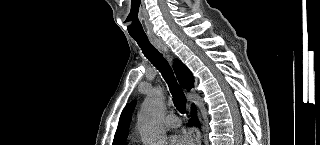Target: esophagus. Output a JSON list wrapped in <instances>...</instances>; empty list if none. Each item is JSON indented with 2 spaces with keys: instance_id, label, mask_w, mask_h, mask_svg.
I'll list each match as a JSON object with an SVG mask.
<instances>
[{
  "instance_id": "34e87169",
  "label": "esophagus",
  "mask_w": 320,
  "mask_h": 145,
  "mask_svg": "<svg viewBox=\"0 0 320 145\" xmlns=\"http://www.w3.org/2000/svg\"><path fill=\"white\" fill-rule=\"evenodd\" d=\"M152 42L161 48L164 52H167V48L160 42V40L154 38L151 39ZM188 138H189V144L190 145H199L200 144V136L198 133V130L195 126H190L188 128Z\"/></svg>"
}]
</instances>
